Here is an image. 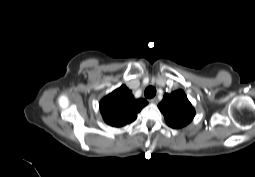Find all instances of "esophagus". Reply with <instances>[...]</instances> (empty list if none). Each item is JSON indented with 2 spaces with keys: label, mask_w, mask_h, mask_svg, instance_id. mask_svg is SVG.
<instances>
[{
  "label": "esophagus",
  "mask_w": 255,
  "mask_h": 177,
  "mask_svg": "<svg viewBox=\"0 0 255 177\" xmlns=\"http://www.w3.org/2000/svg\"><path fill=\"white\" fill-rule=\"evenodd\" d=\"M150 103L157 104L158 103V99L156 97L152 98V99H150Z\"/></svg>",
  "instance_id": "esophagus-1"
}]
</instances>
